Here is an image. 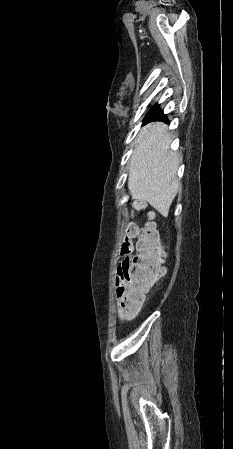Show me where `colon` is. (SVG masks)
<instances>
[{"label":"colon","mask_w":233,"mask_h":449,"mask_svg":"<svg viewBox=\"0 0 233 449\" xmlns=\"http://www.w3.org/2000/svg\"><path fill=\"white\" fill-rule=\"evenodd\" d=\"M135 234L136 229L130 226L121 244V253L125 257L120 267L127 272L130 284L129 295L121 304L122 315L126 318L139 310L146 292L156 285L165 271L162 266L165 244L159 231L152 225L143 227L136 245L137 254L128 256Z\"/></svg>","instance_id":"1"}]
</instances>
